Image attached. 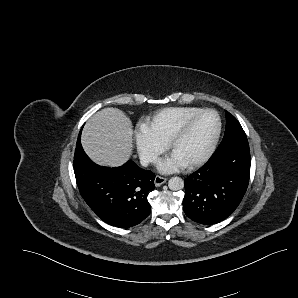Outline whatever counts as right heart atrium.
Listing matches in <instances>:
<instances>
[{
	"mask_svg": "<svg viewBox=\"0 0 298 298\" xmlns=\"http://www.w3.org/2000/svg\"><path fill=\"white\" fill-rule=\"evenodd\" d=\"M135 140L141 160L144 163L153 161L167 148L166 140L162 139L159 132L148 125H143L135 132Z\"/></svg>",
	"mask_w": 298,
	"mask_h": 298,
	"instance_id": "1",
	"label": "right heart atrium"
}]
</instances>
